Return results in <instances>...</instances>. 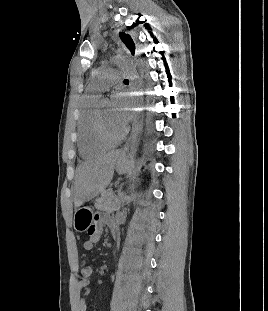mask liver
I'll return each instance as SVG.
<instances>
[{
	"instance_id": "liver-1",
	"label": "liver",
	"mask_w": 268,
	"mask_h": 311,
	"mask_svg": "<svg viewBox=\"0 0 268 311\" xmlns=\"http://www.w3.org/2000/svg\"><path fill=\"white\" fill-rule=\"evenodd\" d=\"M122 151H110L95 160L82 163L74 184V204L79 207L102 193L113 179L117 160Z\"/></svg>"
}]
</instances>
